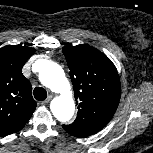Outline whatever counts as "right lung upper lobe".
Masks as SVG:
<instances>
[{"instance_id": "obj_1", "label": "right lung upper lobe", "mask_w": 153, "mask_h": 153, "mask_svg": "<svg viewBox=\"0 0 153 153\" xmlns=\"http://www.w3.org/2000/svg\"><path fill=\"white\" fill-rule=\"evenodd\" d=\"M35 51L20 45L0 48V135L21 130L35 111L31 84L22 74L23 65Z\"/></svg>"}]
</instances>
